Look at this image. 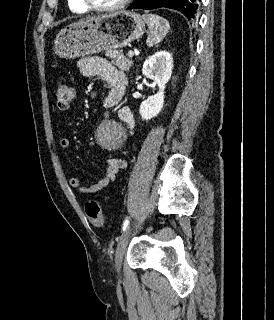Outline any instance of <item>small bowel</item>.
<instances>
[{
  "instance_id": "small-bowel-1",
  "label": "small bowel",
  "mask_w": 274,
  "mask_h": 320,
  "mask_svg": "<svg viewBox=\"0 0 274 320\" xmlns=\"http://www.w3.org/2000/svg\"><path fill=\"white\" fill-rule=\"evenodd\" d=\"M80 73L86 77H101L110 86L105 98L106 107L118 106L122 100L127 80L125 74L114 67L104 58L98 56L83 57L78 62ZM119 117L128 129L133 127V118L128 108L119 109ZM60 147L66 149L70 142L63 138L59 142ZM127 167L126 160L118 157H108L102 176L92 184H83L77 177L70 176L67 178L69 186L75 193L90 195L103 191L116 178L117 173Z\"/></svg>"
}]
</instances>
